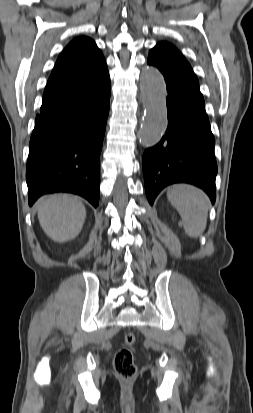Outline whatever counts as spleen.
Wrapping results in <instances>:
<instances>
[{"label":"spleen","mask_w":253,"mask_h":413,"mask_svg":"<svg viewBox=\"0 0 253 413\" xmlns=\"http://www.w3.org/2000/svg\"><path fill=\"white\" fill-rule=\"evenodd\" d=\"M167 198L182 218L186 234L197 238L206 229L209 198L200 189L186 185H174L167 191Z\"/></svg>","instance_id":"3e777b00"}]
</instances>
